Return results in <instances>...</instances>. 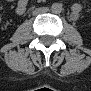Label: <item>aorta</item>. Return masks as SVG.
I'll return each mask as SVG.
<instances>
[{
  "instance_id": "obj_1",
  "label": "aorta",
  "mask_w": 91,
  "mask_h": 91,
  "mask_svg": "<svg viewBox=\"0 0 91 91\" xmlns=\"http://www.w3.org/2000/svg\"><path fill=\"white\" fill-rule=\"evenodd\" d=\"M62 4L60 3H53L52 6H51V11L54 13V14H59L62 12Z\"/></svg>"
}]
</instances>
